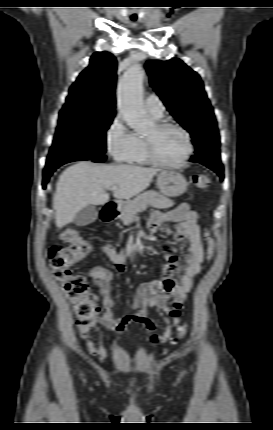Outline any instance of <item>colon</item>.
I'll return each instance as SVG.
<instances>
[{
  "instance_id": "colon-1",
  "label": "colon",
  "mask_w": 273,
  "mask_h": 430,
  "mask_svg": "<svg viewBox=\"0 0 273 430\" xmlns=\"http://www.w3.org/2000/svg\"><path fill=\"white\" fill-rule=\"evenodd\" d=\"M193 183L200 189H208L210 177L206 174L193 176ZM206 258L210 260L215 252V242L206 231ZM61 243L53 246L48 253V262L54 278L62 285L73 305L77 317V328L83 338L89 337L95 329L101 308L90 290L87 279L75 274L71 267L91 252V245L72 228L61 234ZM184 332L179 333L182 337Z\"/></svg>"
}]
</instances>
